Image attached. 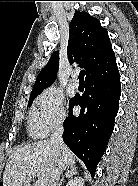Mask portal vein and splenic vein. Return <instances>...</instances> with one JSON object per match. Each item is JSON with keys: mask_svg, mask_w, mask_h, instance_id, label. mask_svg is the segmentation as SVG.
<instances>
[{"mask_svg": "<svg viewBox=\"0 0 138 186\" xmlns=\"http://www.w3.org/2000/svg\"><path fill=\"white\" fill-rule=\"evenodd\" d=\"M35 176V173L30 171L28 174H27V177H34ZM36 186H45L44 183L40 180H37L36 181Z\"/></svg>", "mask_w": 138, "mask_h": 186, "instance_id": "18ae733b", "label": "portal vein and splenic vein"}]
</instances>
